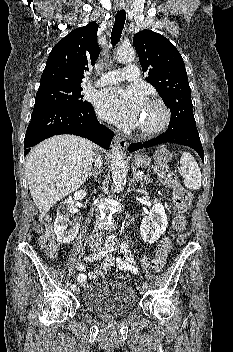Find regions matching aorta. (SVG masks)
<instances>
[{
	"mask_svg": "<svg viewBox=\"0 0 233 352\" xmlns=\"http://www.w3.org/2000/svg\"><path fill=\"white\" fill-rule=\"evenodd\" d=\"M119 61H132L135 58V51L132 48L121 47L117 51ZM111 173L114 186L118 192L123 190L127 179V166L123 154L119 148L111 145ZM115 236L110 237L113 241Z\"/></svg>",
	"mask_w": 233,
	"mask_h": 352,
	"instance_id": "obj_1",
	"label": "aorta"
}]
</instances>
